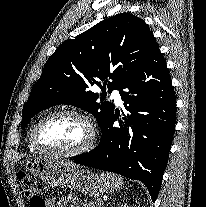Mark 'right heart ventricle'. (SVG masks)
I'll return each mask as SVG.
<instances>
[{
	"mask_svg": "<svg viewBox=\"0 0 206 207\" xmlns=\"http://www.w3.org/2000/svg\"><path fill=\"white\" fill-rule=\"evenodd\" d=\"M31 133H32V130L30 131L29 133V137H28V146H29V149L31 152H38L37 149L34 148L33 144H32V141H31Z\"/></svg>",
	"mask_w": 206,
	"mask_h": 207,
	"instance_id": "right-heart-ventricle-1",
	"label": "right heart ventricle"
}]
</instances>
